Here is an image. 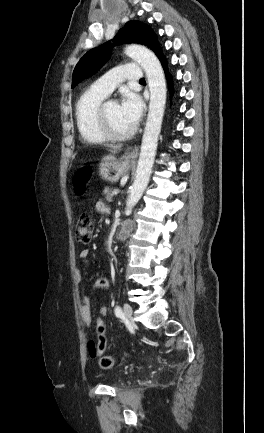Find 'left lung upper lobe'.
<instances>
[{
  "label": "left lung upper lobe",
  "mask_w": 264,
  "mask_h": 433,
  "mask_svg": "<svg viewBox=\"0 0 264 433\" xmlns=\"http://www.w3.org/2000/svg\"><path fill=\"white\" fill-rule=\"evenodd\" d=\"M111 41L90 50L80 59L73 72L72 88L84 78L96 73L110 56L112 48L118 43H140L154 51L158 58L163 55L156 34L149 25L140 21L127 22Z\"/></svg>",
  "instance_id": "5c2ea615"
}]
</instances>
